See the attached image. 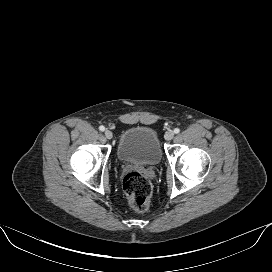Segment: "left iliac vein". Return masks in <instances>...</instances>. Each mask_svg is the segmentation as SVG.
Returning a JSON list of instances; mask_svg holds the SVG:
<instances>
[{"label":"left iliac vein","mask_w":272,"mask_h":272,"mask_svg":"<svg viewBox=\"0 0 272 272\" xmlns=\"http://www.w3.org/2000/svg\"><path fill=\"white\" fill-rule=\"evenodd\" d=\"M173 137H174V132H173L172 130L167 131V132L165 133V135H164V138H165V140H167V141L172 140Z\"/></svg>","instance_id":"obj_1"}]
</instances>
